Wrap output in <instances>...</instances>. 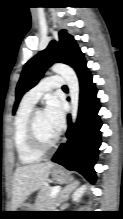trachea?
<instances>
[{
	"mask_svg": "<svg viewBox=\"0 0 123 219\" xmlns=\"http://www.w3.org/2000/svg\"><path fill=\"white\" fill-rule=\"evenodd\" d=\"M63 89H67V86H63Z\"/></svg>",
	"mask_w": 123,
	"mask_h": 219,
	"instance_id": "trachea-1",
	"label": "trachea"
}]
</instances>
